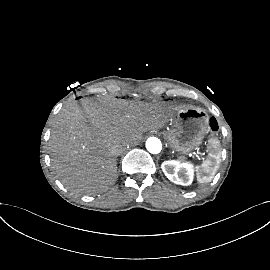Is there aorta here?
I'll list each match as a JSON object with an SVG mask.
<instances>
[{"instance_id":"aorta-1","label":"aorta","mask_w":270,"mask_h":270,"mask_svg":"<svg viewBox=\"0 0 270 270\" xmlns=\"http://www.w3.org/2000/svg\"><path fill=\"white\" fill-rule=\"evenodd\" d=\"M145 145H146L147 151L152 154H158L162 150V143L156 137L148 138Z\"/></svg>"}]
</instances>
